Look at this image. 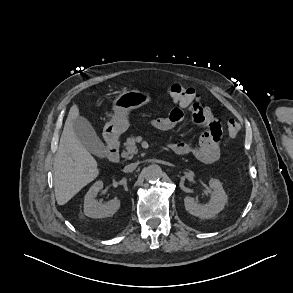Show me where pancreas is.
I'll return each instance as SVG.
<instances>
[{
	"mask_svg": "<svg viewBox=\"0 0 293 293\" xmlns=\"http://www.w3.org/2000/svg\"><path fill=\"white\" fill-rule=\"evenodd\" d=\"M125 150L122 152V157L126 159H132L135 154H137L138 149L136 147V140L134 136L127 138L125 143Z\"/></svg>",
	"mask_w": 293,
	"mask_h": 293,
	"instance_id": "pancreas-1",
	"label": "pancreas"
}]
</instances>
